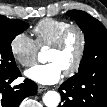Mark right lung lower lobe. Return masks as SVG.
Segmentation results:
<instances>
[{
  "mask_svg": "<svg viewBox=\"0 0 107 107\" xmlns=\"http://www.w3.org/2000/svg\"><path fill=\"white\" fill-rule=\"evenodd\" d=\"M20 76L18 69L11 74L0 76V107H18L25 97L36 93L37 85L30 79H25L23 83L14 88L9 85Z\"/></svg>",
  "mask_w": 107,
  "mask_h": 107,
  "instance_id": "obj_1",
  "label": "right lung lower lobe"
}]
</instances>
